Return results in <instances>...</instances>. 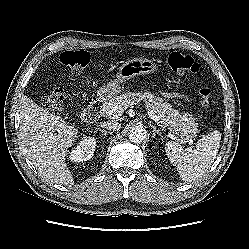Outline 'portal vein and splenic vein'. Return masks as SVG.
Masks as SVG:
<instances>
[{
    "label": "portal vein and splenic vein",
    "mask_w": 249,
    "mask_h": 249,
    "mask_svg": "<svg viewBox=\"0 0 249 249\" xmlns=\"http://www.w3.org/2000/svg\"><path fill=\"white\" fill-rule=\"evenodd\" d=\"M123 112H124V110L120 106H114L113 108H111L107 112L106 115L109 118L118 119L123 114ZM147 113H148L150 119H152L153 121H155L158 124L160 123L159 117L151 109L147 108Z\"/></svg>",
    "instance_id": "1"
}]
</instances>
